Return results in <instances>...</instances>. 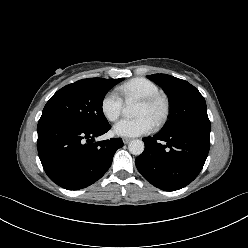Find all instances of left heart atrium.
<instances>
[{"label":"left heart atrium","instance_id":"left-heart-atrium-1","mask_svg":"<svg viewBox=\"0 0 248 248\" xmlns=\"http://www.w3.org/2000/svg\"><path fill=\"white\" fill-rule=\"evenodd\" d=\"M153 123L145 116L124 118L113 127L114 134L122 137H135L151 132Z\"/></svg>","mask_w":248,"mask_h":248}]
</instances>
